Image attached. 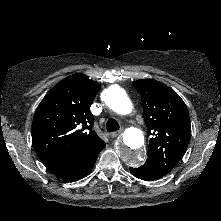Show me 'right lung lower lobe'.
<instances>
[{
    "instance_id": "1",
    "label": "right lung lower lobe",
    "mask_w": 221,
    "mask_h": 221,
    "mask_svg": "<svg viewBox=\"0 0 221 221\" xmlns=\"http://www.w3.org/2000/svg\"><path fill=\"white\" fill-rule=\"evenodd\" d=\"M105 146L106 144L104 142L99 147L88 151L81 157L71 162L50 167L48 169L53 172L57 177L65 181H77L85 177L92 170L97 156L105 148Z\"/></svg>"
}]
</instances>
